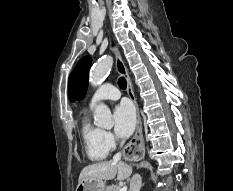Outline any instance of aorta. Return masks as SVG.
Listing matches in <instances>:
<instances>
[{
	"mask_svg": "<svg viewBox=\"0 0 233 191\" xmlns=\"http://www.w3.org/2000/svg\"><path fill=\"white\" fill-rule=\"evenodd\" d=\"M113 64V59L108 56L96 63L89 75V82L92 86H97L100 84L102 79L108 74ZM94 121L96 125L110 129L113 126L112 116L110 109L104 105L99 104L94 113Z\"/></svg>",
	"mask_w": 233,
	"mask_h": 191,
	"instance_id": "obj_1",
	"label": "aorta"
}]
</instances>
